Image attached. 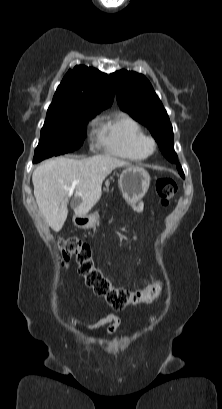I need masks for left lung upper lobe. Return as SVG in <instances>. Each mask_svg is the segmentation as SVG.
<instances>
[{"instance_id": "left-lung-upper-lobe-1", "label": "left lung upper lobe", "mask_w": 222, "mask_h": 409, "mask_svg": "<svg viewBox=\"0 0 222 409\" xmlns=\"http://www.w3.org/2000/svg\"><path fill=\"white\" fill-rule=\"evenodd\" d=\"M110 77L121 109L150 130L163 155L176 163L179 174L184 178L174 151L172 125L150 82L144 75L126 70L114 72Z\"/></svg>"}]
</instances>
